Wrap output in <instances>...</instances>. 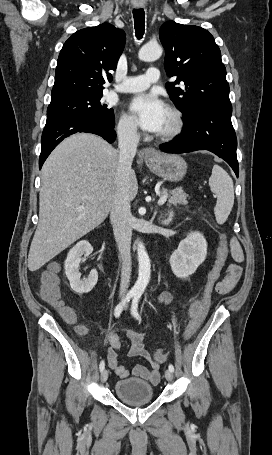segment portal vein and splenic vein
Returning a JSON list of instances; mask_svg holds the SVG:
<instances>
[{"mask_svg": "<svg viewBox=\"0 0 272 455\" xmlns=\"http://www.w3.org/2000/svg\"><path fill=\"white\" fill-rule=\"evenodd\" d=\"M166 200H167V195H163L162 197H160L158 204L163 205L166 202ZM80 208H83V206Z\"/></svg>", "mask_w": 272, "mask_h": 455, "instance_id": "portal-vein-and-splenic-vein-1", "label": "portal vein and splenic vein"}]
</instances>
